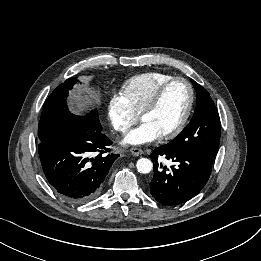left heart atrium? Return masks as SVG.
<instances>
[{"label": "left heart atrium", "mask_w": 261, "mask_h": 261, "mask_svg": "<svg viewBox=\"0 0 261 261\" xmlns=\"http://www.w3.org/2000/svg\"><path fill=\"white\" fill-rule=\"evenodd\" d=\"M160 134L148 123L143 122L139 127L130 131L123 139V144L141 145L155 141Z\"/></svg>", "instance_id": "1"}]
</instances>
